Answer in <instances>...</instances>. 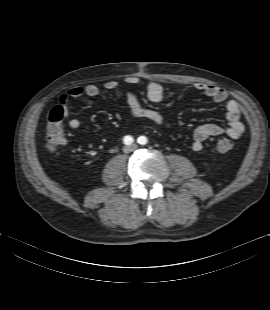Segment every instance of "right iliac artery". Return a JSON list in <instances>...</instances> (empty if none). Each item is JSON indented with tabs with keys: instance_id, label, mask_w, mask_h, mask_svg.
<instances>
[{
	"instance_id": "82829eb1",
	"label": "right iliac artery",
	"mask_w": 270,
	"mask_h": 310,
	"mask_svg": "<svg viewBox=\"0 0 270 310\" xmlns=\"http://www.w3.org/2000/svg\"><path fill=\"white\" fill-rule=\"evenodd\" d=\"M123 141H124V143L126 145H130V144H132L134 142L133 138L131 136H129V135L125 136Z\"/></svg>"
}]
</instances>
